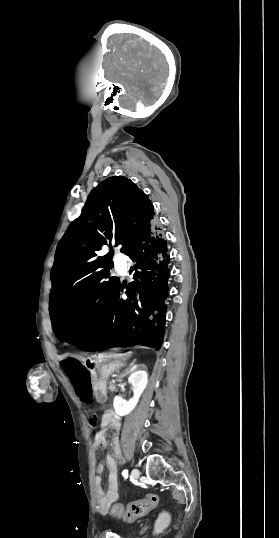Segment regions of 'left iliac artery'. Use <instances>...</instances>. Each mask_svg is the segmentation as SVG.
<instances>
[{
	"instance_id": "44dca946",
	"label": "left iliac artery",
	"mask_w": 279,
	"mask_h": 538,
	"mask_svg": "<svg viewBox=\"0 0 279 538\" xmlns=\"http://www.w3.org/2000/svg\"><path fill=\"white\" fill-rule=\"evenodd\" d=\"M122 476H123L125 479H127V477H128V470H126V469L123 470V472H122Z\"/></svg>"
}]
</instances>
